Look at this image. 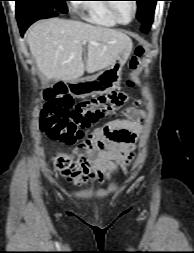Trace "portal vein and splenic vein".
<instances>
[{
    "instance_id": "obj_1",
    "label": "portal vein and splenic vein",
    "mask_w": 194,
    "mask_h": 253,
    "mask_svg": "<svg viewBox=\"0 0 194 253\" xmlns=\"http://www.w3.org/2000/svg\"><path fill=\"white\" fill-rule=\"evenodd\" d=\"M86 43V41H83V44H85Z\"/></svg>"
}]
</instances>
